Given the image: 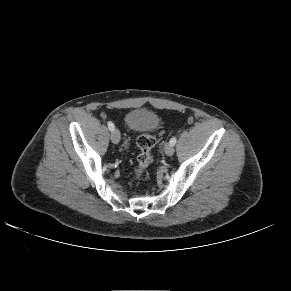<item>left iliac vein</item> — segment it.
I'll list each match as a JSON object with an SVG mask.
<instances>
[{
    "label": "left iliac vein",
    "mask_w": 291,
    "mask_h": 291,
    "mask_svg": "<svg viewBox=\"0 0 291 291\" xmlns=\"http://www.w3.org/2000/svg\"><path fill=\"white\" fill-rule=\"evenodd\" d=\"M164 150L168 156L173 155L175 151L174 146L171 144H166Z\"/></svg>",
    "instance_id": "4c4485c4"
}]
</instances>
